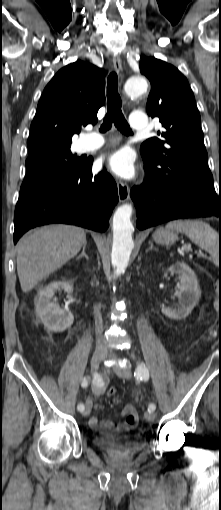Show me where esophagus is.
Returning <instances> with one entry per match:
<instances>
[{
    "label": "esophagus",
    "instance_id": "esophagus-1",
    "mask_svg": "<svg viewBox=\"0 0 221 510\" xmlns=\"http://www.w3.org/2000/svg\"><path fill=\"white\" fill-rule=\"evenodd\" d=\"M113 66L117 73H120L122 71L121 59L117 55H115L113 57ZM117 189H118L119 201L121 203L128 201L129 193H130L128 184L124 181L119 180L117 182Z\"/></svg>",
    "mask_w": 221,
    "mask_h": 510
}]
</instances>
